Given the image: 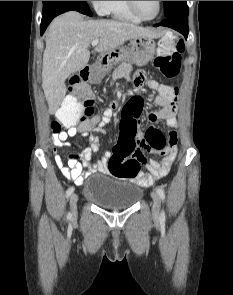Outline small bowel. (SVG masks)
<instances>
[{
	"label": "small bowel",
	"instance_id": "1",
	"mask_svg": "<svg viewBox=\"0 0 233 295\" xmlns=\"http://www.w3.org/2000/svg\"><path fill=\"white\" fill-rule=\"evenodd\" d=\"M145 73L139 71L135 76L137 84L144 82ZM155 105L160 107L158 111L149 113L148 120L151 123L156 121H163L168 127L176 128L178 121L176 118L178 97L167 98L162 95H157L154 99ZM144 105V99L142 96L133 97L126 105L124 112L131 113L133 118L138 120L141 110ZM112 110L107 109L104 111L98 125L93 128H85L81 123L76 126L71 124L66 131L56 134L52 138L53 146L52 150L55 153V162L62 174L69 180L73 181L76 185H82L86 177L96 173H109V160L111 153L106 151L96 163L92 164L91 159L93 153L99 151L100 140L96 135V132L103 131L112 119ZM78 133L88 135L89 146L81 152H69L66 155L67 164L64 165L63 157L58 153L61 148H69V138L76 137ZM169 146L163 153L162 160L157 161L151 159L147 164L148 173L139 172L138 175L133 178V181L141 187H150L158 179L165 177L170 171L173 162L177 155V133L170 131L167 136ZM86 169V171H84Z\"/></svg>",
	"mask_w": 233,
	"mask_h": 295
}]
</instances>
